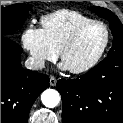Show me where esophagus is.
Wrapping results in <instances>:
<instances>
[{
  "label": "esophagus",
  "mask_w": 123,
  "mask_h": 123,
  "mask_svg": "<svg viewBox=\"0 0 123 123\" xmlns=\"http://www.w3.org/2000/svg\"><path fill=\"white\" fill-rule=\"evenodd\" d=\"M57 83V80L54 76L50 77V86H55Z\"/></svg>",
  "instance_id": "34e87169"
}]
</instances>
